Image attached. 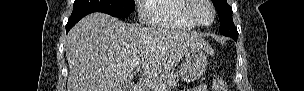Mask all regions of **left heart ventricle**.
Returning a JSON list of instances; mask_svg holds the SVG:
<instances>
[{
  "instance_id": "left-heart-ventricle-1",
  "label": "left heart ventricle",
  "mask_w": 304,
  "mask_h": 91,
  "mask_svg": "<svg viewBox=\"0 0 304 91\" xmlns=\"http://www.w3.org/2000/svg\"><path fill=\"white\" fill-rule=\"evenodd\" d=\"M196 15L202 23H209L212 19L211 9L207 5H202L197 10Z\"/></svg>"
}]
</instances>
